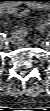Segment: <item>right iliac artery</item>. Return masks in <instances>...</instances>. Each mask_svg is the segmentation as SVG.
<instances>
[{"label":"right iliac artery","mask_w":50,"mask_h":111,"mask_svg":"<svg viewBox=\"0 0 50 111\" xmlns=\"http://www.w3.org/2000/svg\"><path fill=\"white\" fill-rule=\"evenodd\" d=\"M1 37H5L6 35L4 33H0Z\"/></svg>","instance_id":"obj_1"}]
</instances>
